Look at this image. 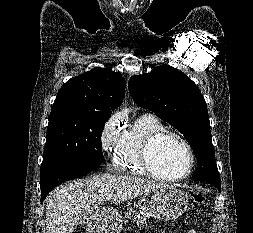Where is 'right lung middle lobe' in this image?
I'll list each match as a JSON object with an SVG mask.
<instances>
[{"mask_svg":"<svg viewBox=\"0 0 253 233\" xmlns=\"http://www.w3.org/2000/svg\"><path fill=\"white\" fill-rule=\"evenodd\" d=\"M111 114L52 108L41 169L59 162H105L101 135Z\"/></svg>","mask_w":253,"mask_h":233,"instance_id":"dd1d6c3e","label":"right lung middle lobe"}]
</instances>
